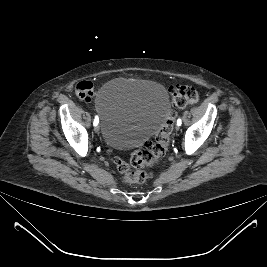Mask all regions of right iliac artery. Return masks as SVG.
Listing matches in <instances>:
<instances>
[{"mask_svg": "<svg viewBox=\"0 0 267 267\" xmlns=\"http://www.w3.org/2000/svg\"><path fill=\"white\" fill-rule=\"evenodd\" d=\"M98 122H99V120H98V118L96 117V118L94 119V126H96V125L98 124Z\"/></svg>", "mask_w": 267, "mask_h": 267, "instance_id": "right-iliac-artery-1", "label": "right iliac artery"}]
</instances>
